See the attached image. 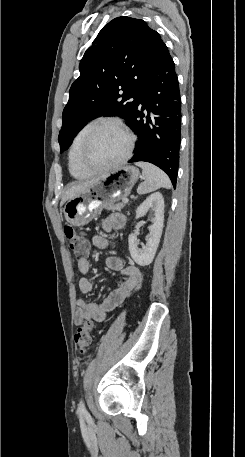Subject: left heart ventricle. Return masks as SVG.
<instances>
[{
    "instance_id": "obj_1",
    "label": "left heart ventricle",
    "mask_w": 245,
    "mask_h": 457,
    "mask_svg": "<svg viewBox=\"0 0 245 457\" xmlns=\"http://www.w3.org/2000/svg\"><path fill=\"white\" fill-rule=\"evenodd\" d=\"M127 138L112 128L101 130L85 153V161L91 168H102L111 164L126 149Z\"/></svg>"
}]
</instances>
